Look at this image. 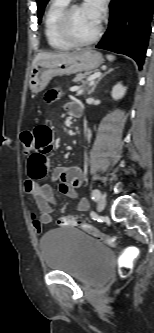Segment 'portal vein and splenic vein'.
<instances>
[{
	"label": "portal vein and splenic vein",
	"mask_w": 154,
	"mask_h": 333,
	"mask_svg": "<svg viewBox=\"0 0 154 333\" xmlns=\"http://www.w3.org/2000/svg\"><path fill=\"white\" fill-rule=\"evenodd\" d=\"M100 75H101V72H97L94 75H92L88 80L92 83L94 81V79H96ZM70 91L77 92V94H81L83 92V89H81V87H72V88H70Z\"/></svg>",
	"instance_id": "18ae733b"
}]
</instances>
